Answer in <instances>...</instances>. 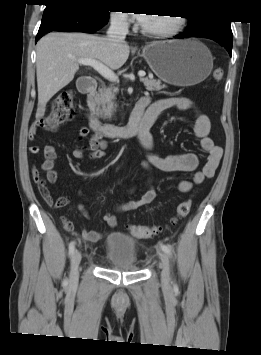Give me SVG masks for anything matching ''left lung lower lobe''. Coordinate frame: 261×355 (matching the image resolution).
<instances>
[{
	"label": "left lung lower lobe",
	"mask_w": 261,
	"mask_h": 355,
	"mask_svg": "<svg viewBox=\"0 0 261 355\" xmlns=\"http://www.w3.org/2000/svg\"><path fill=\"white\" fill-rule=\"evenodd\" d=\"M188 37H203V38L211 39L223 45L231 55L233 34L229 24L212 23L204 27L198 32L185 31L183 34L175 36V38H188Z\"/></svg>",
	"instance_id": "1"
}]
</instances>
